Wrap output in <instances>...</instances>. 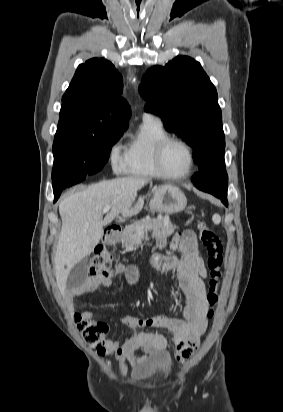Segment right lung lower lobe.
Listing matches in <instances>:
<instances>
[{"mask_svg": "<svg viewBox=\"0 0 283 412\" xmlns=\"http://www.w3.org/2000/svg\"><path fill=\"white\" fill-rule=\"evenodd\" d=\"M102 167L96 169L95 171L89 173L88 175H92L96 172H98ZM86 175V176H88ZM86 176H78V177H60L57 179H54L52 184H53V191H54V196H55V200L56 201L60 194L61 191L69 186L75 185L79 182H81L82 180H84L86 178Z\"/></svg>", "mask_w": 283, "mask_h": 412, "instance_id": "obj_1", "label": "right lung lower lobe"}]
</instances>
